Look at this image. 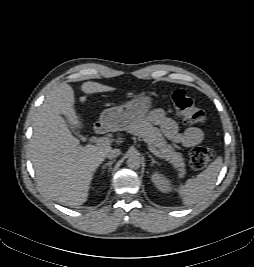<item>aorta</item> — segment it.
I'll list each match as a JSON object with an SVG mask.
<instances>
[{"label": "aorta", "mask_w": 254, "mask_h": 267, "mask_svg": "<svg viewBox=\"0 0 254 267\" xmlns=\"http://www.w3.org/2000/svg\"><path fill=\"white\" fill-rule=\"evenodd\" d=\"M141 162L142 160H141L140 155L138 153H132L127 159V166L130 169L137 170L140 168Z\"/></svg>", "instance_id": "762f6f07"}]
</instances>
